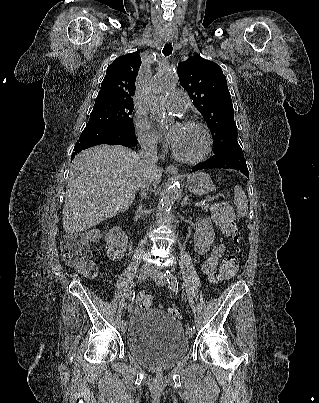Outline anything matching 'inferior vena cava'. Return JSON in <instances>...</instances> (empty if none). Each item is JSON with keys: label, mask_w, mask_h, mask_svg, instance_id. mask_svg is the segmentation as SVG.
<instances>
[{"label": "inferior vena cava", "mask_w": 319, "mask_h": 403, "mask_svg": "<svg viewBox=\"0 0 319 403\" xmlns=\"http://www.w3.org/2000/svg\"><path fill=\"white\" fill-rule=\"evenodd\" d=\"M141 150L139 151L140 161L146 168V175L141 182L142 194L141 196L149 191L150 184L152 183L151 173L157 168V146L153 140L141 139L140 140ZM140 209L142 205L140 204Z\"/></svg>", "instance_id": "602c4592"}]
</instances>
